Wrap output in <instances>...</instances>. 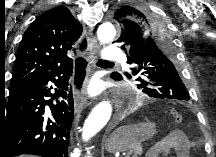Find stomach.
Here are the masks:
<instances>
[{"mask_svg": "<svg viewBox=\"0 0 216 157\" xmlns=\"http://www.w3.org/2000/svg\"><path fill=\"white\" fill-rule=\"evenodd\" d=\"M155 133L156 125L151 122L123 126L108 137L105 146L110 153L131 151L142 141L153 137Z\"/></svg>", "mask_w": 216, "mask_h": 157, "instance_id": "0dacf381", "label": "stomach"}]
</instances>
